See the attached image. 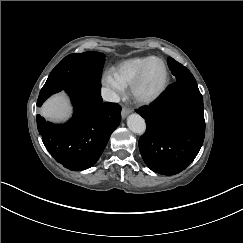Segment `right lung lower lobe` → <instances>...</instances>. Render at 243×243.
<instances>
[{
  "label": "right lung lower lobe",
  "mask_w": 243,
  "mask_h": 243,
  "mask_svg": "<svg viewBox=\"0 0 243 243\" xmlns=\"http://www.w3.org/2000/svg\"><path fill=\"white\" fill-rule=\"evenodd\" d=\"M65 91L75 108L73 118L56 125L37 115V128L53 158L70 170L80 171L99 159L121 121V107L103 102L101 85L75 83Z\"/></svg>",
  "instance_id": "obj_1"
}]
</instances>
